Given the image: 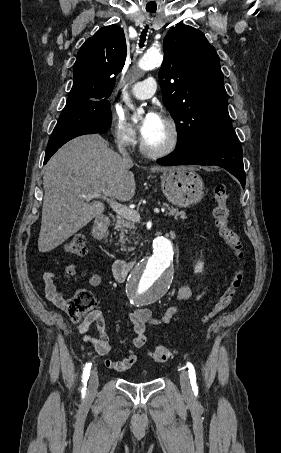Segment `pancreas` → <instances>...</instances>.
I'll use <instances>...</instances> for the list:
<instances>
[{"label": "pancreas", "instance_id": "cf45deb5", "mask_svg": "<svg viewBox=\"0 0 281 453\" xmlns=\"http://www.w3.org/2000/svg\"><path fill=\"white\" fill-rule=\"evenodd\" d=\"M168 210L169 212H166L168 216H174V218H177V216L181 214V218H185L186 212H184V210H180L179 212L178 208H173V206H171V208L168 206ZM115 229L120 231V243L124 245V237H126V235H130V239H132L133 235H135V222H133V220H125V218H116Z\"/></svg>", "mask_w": 281, "mask_h": 453}]
</instances>
